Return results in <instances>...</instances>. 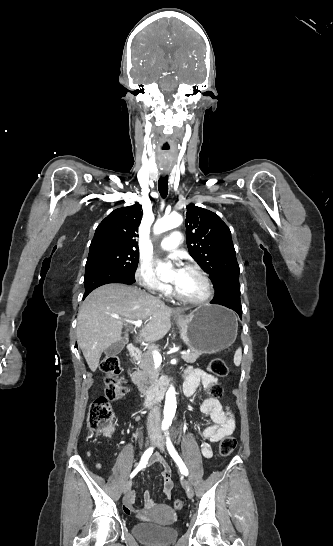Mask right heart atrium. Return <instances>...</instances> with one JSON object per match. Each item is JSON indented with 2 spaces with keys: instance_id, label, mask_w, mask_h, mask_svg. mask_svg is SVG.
Returning a JSON list of instances; mask_svg holds the SVG:
<instances>
[{
  "instance_id": "d8ad5b80",
  "label": "right heart atrium",
  "mask_w": 333,
  "mask_h": 546,
  "mask_svg": "<svg viewBox=\"0 0 333 546\" xmlns=\"http://www.w3.org/2000/svg\"><path fill=\"white\" fill-rule=\"evenodd\" d=\"M138 284L153 293H166L169 287L162 283L156 276L153 266L148 262H142L135 273Z\"/></svg>"
}]
</instances>
